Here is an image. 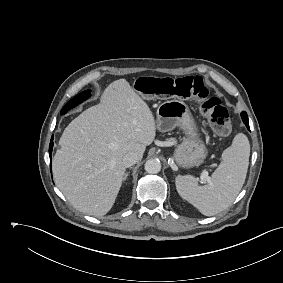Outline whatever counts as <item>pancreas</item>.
<instances>
[{"instance_id": "1", "label": "pancreas", "mask_w": 283, "mask_h": 283, "mask_svg": "<svg viewBox=\"0 0 283 283\" xmlns=\"http://www.w3.org/2000/svg\"><path fill=\"white\" fill-rule=\"evenodd\" d=\"M170 141H171L172 143H174V144L176 143V140H175V139H171Z\"/></svg>"}]
</instances>
